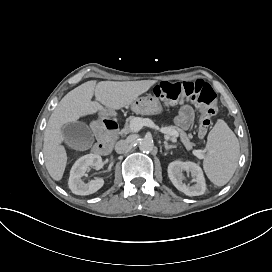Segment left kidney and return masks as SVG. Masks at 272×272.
<instances>
[{
    "mask_svg": "<svg viewBox=\"0 0 272 272\" xmlns=\"http://www.w3.org/2000/svg\"><path fill=\"white\" fill-rule=\"evenodd\" d=\"M182 171L190 172L193 181L196 182L193 186H187L183 183ZM168 176L173 185L181 192L188 196L203 195L206 191L205 178L202 169L194 162L173 161L168 165Z\"/></svg>",
    "mask_w": 272,
    "mask_h": 272,
    "instance_id": "obj_1",
    "label": "left kidney"
}]
</instances>
